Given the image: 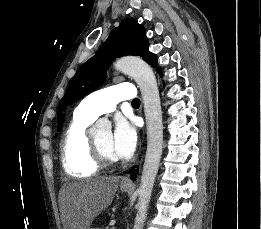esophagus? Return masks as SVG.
Here are the masks:
<instances>
[{
	"mask_svg": "<svg viewBox=\"0 0 261 229\" xmlns=\"http://www.w3.org/2000/svg\"><path fill=\"white\" fill-rule=\"evenodd\" d=\"M121 184H122V185H127V186H134V184H133V182L131 181L129 175L126 176V177H124V179H122Z\"/></svg>",
	"mask_w": 261,
	"mask_h": 229,
	"instance_id": "obj_1",
	"label": "esophagus"
}]
</instances>
